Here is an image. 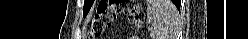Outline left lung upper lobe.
Listing matches in <instances>:
<instances>
[{"instance_id": "left-lung-upper-lobe-1", "label": "left lung upper lobe", "mask_w": 249, "mask_h": 39, "mask_svg": "<svg viewBox=\"0 0 249 39\" xmlns=\"http://www.w3.org/2000/svg\"><path fill=\"white\" fill-rule=\"evenodd\" d=\"M92 4H93L92 0H85L84 9H83V14L84 15H86L89 12Z\"/></svg>"}]
</instances>
